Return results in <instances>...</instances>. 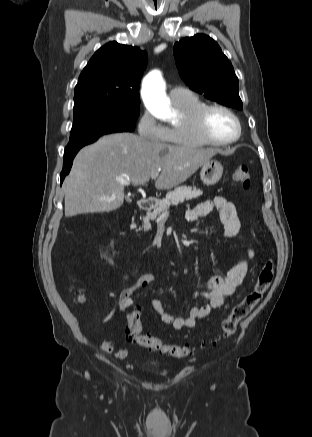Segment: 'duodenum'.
I'll return each mask as SVG.
<instances>
[{
	"mask_svg": "<svg viewBox=\"0 0 312 437\" xmlns=\"http://www.w3.org/2000/svg\"><path fill=\"white\" fill-rule=\"evenodd\" d=\"M155 204V199L152 197H145L141 198L138 201V207L139 209L146 210L151 208Z\"/></svg>",
	"mask_w": 312,
	"mask_h": 437,
	"instance_id": "410a0bca",
	"label": "duodenum"
}]
</instances>
